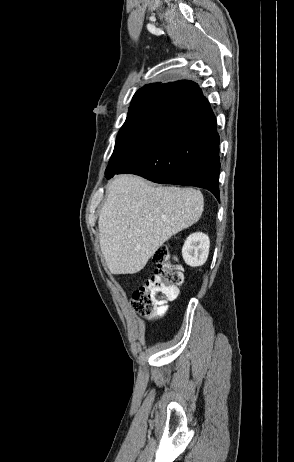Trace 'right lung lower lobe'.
Segmentation results:
<instances>
[{
  "label": "right lung lower lobe",
  "instance_id": "1",
  "mask_svg": "<svg viewBox=\"0 0 294 462\" xmlns=\"http://www.w3.org/2000/svg\"><path fill=\"white\" fill-rule=\"evenodd\" d=\"M175 120L144 145L116 173L140 175L161 184L197 186L211 191L219 201V135L209 102L193 92Z\"/></svg>",
  "mask_w": 294,
  "mask_h": 462
}]
</instances>
